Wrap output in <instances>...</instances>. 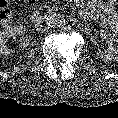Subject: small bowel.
<instances>
[{
  "label": "small bowel",
  "instance_id": "c3829d8e",
  "mask_svg": "<svg viewBox=\"0 0 118 118\" xmlns=\"http://www.w3.org/2000/svg\"><path fill=\"white\" fill-rule=\"evenodd\" d=\"M107 6H109V7H107L105 9V14L107 15V19L112 24V29L116 33H118V17H117V11L115 10L114 7H112V5H107Z\"/></svg>",
  "mask_w": 118,
  "mask_h": 118
}]
</instances>
